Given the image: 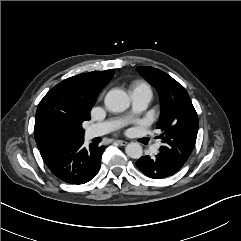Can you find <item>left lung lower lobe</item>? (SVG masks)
Masks as SVG:
<instances>
[{"label": "left lung lower lobe", "mask_w": 241, "mask_h": 241, "mask_svg": "<svg viewBox=\"0 0 241 241\" xmlns=\"http://www.w3.org/2000/svg\"><path fill=\"white\" fill-rule=\"evenodd\" d=\"M136 166L143 174L153 179L169 177L181 169L179 165L172 163L160 153L153 157H141L136 162Z\"/></svg>", "instance_id": "left-lung-lower-lobe-1"}]
</instances>
